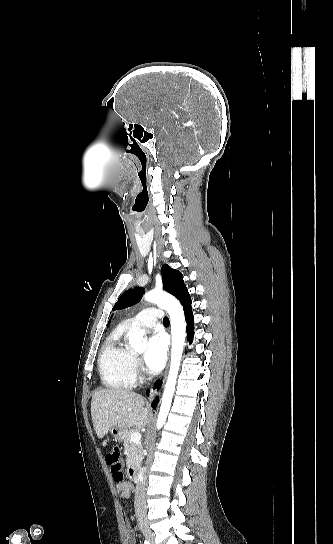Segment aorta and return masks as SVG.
Wrapping results in <instances>:
<instances>
[{"instance_id":"aorta-1","label":"aorta","mask_w":333,"mask_h":544,"mask_svg":"<svg viewBox=\"0 0 333 544\" xmlns=\"http://www.w3.org/2000/svg\"><path fill=\"white\" fill-rule=\"evenodd\" d=\"M144 299L165 309L171 320V363L157 419V428L160 429L166 422L176 388V381L185 345L186 324L183 308L179 301L172 295L163 291L152 290L145 293ZM129 345L136 351H144L146 349L144 344V331L137 328L132 329L129 334Z\"/></svg>"}]
</instances>
